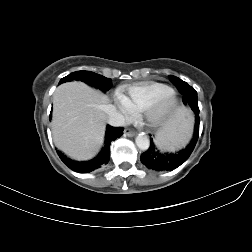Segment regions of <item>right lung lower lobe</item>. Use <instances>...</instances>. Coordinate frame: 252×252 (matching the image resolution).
Returning <instances> with one entry per match:
<instances>
[{
    "label": "right lung lower lobe",
    "mask_w": 252,
    "mask_h": 252,
    "mask_svg": "<svg viewBox=\"0 0 252 252\" xmlns=\"http://www.w3.org/2000/svg\"><path fill=\"white\" fill-rule=\"evenodd\" d=\"M51 119V114H50ZM123 134V128L121 127H112L110 125L107 126L106 134H105V143L104 147L100 151V153L92 160L79 162L73 161L63 155L61 152L57 151L60 159L63 161L65 165H67L70 169L79 173H87L92 172L103 165L107 164L110 159V145L112 141H115Z\"/></svg>",
    "instance_id": "obj_1"
}]
</instances>
